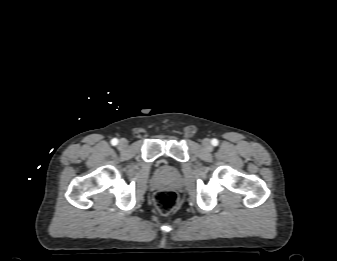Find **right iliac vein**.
Returning <instances> with one entry per match:
<instances>
[{
  "mask_svg": "<svg viewBox=\"0 0 337 261\" xmlns=\"http://www.w3.org/2000/svg\"><path fill=\"white\" fill-rule=\"evenodd\" d=\"M127 145H128V141L126 140V139H121L120 141H119V144H118V147L120 148V149H124V148H126L127 147Z\"/></svg>",
  "mask_w": 337,
  "mask_h": 261,
  "instance_id": "obj_1",
  "label": "right iliac vein"
}]
</instances>
